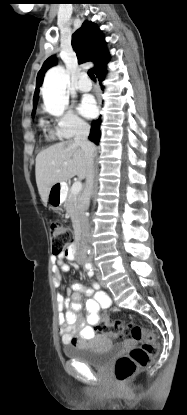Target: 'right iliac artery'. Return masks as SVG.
Returning a JSON list of instances; mask_svg holds the SVG:
<instances>
[{
	"mask_svg": "<svg viewBox=\"0 0 187 415\" xmlns=\"http://www.w3.org/2000/svg\"><path fill=\"white\" fill-rule=\"evenodd\" d=\"M86 268H87V269H91V265H87V266H86Z\"/></svg>",
	"mask_w": 187,
	"mask_h": 415,
	"instance_id": "obj_1",
	"label": "right iliac artery"
}]
</instances>
